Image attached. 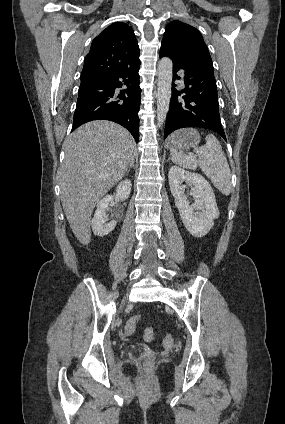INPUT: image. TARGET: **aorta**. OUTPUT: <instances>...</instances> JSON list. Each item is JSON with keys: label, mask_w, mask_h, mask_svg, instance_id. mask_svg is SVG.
<instances>
[{"label": "aorta", "mask_w": 285, "mask_h": 424, "mask_svg": "<svg viewBox=\"0 0 285 424\" xmlns=\"http://www.w3.org/2000/svg\"><path fill=\"white\" fill-rule=\"evenodd\" d=\"M173 63L168 57H163L158 65L157 93V125H163L169 111L172 94Z\"/></svg>", "instance_id": "aorta-1"}]
</instances>
